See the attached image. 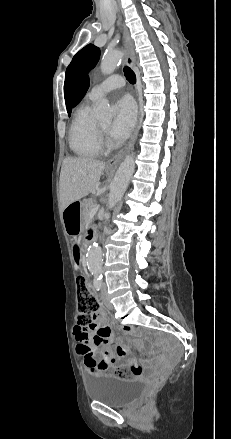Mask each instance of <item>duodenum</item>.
Masks as SVG:
<instances>
[{
	"label": "duodenum",
	"mask_w": 231,
	"mask_h": 439,
	"mask_svg": "<svg viewBox=\"0 0 231 439\" xmlns=\"http://www.w3.org/2000/svg\"><path fill=\"white\" fill-rule=\"evenodd\" d=\"M93 238H94V234L91 233V234L89 235V239L92 240Z\"/></svg>",
	"instance_id": "410a0bca"
}]
</instances>
